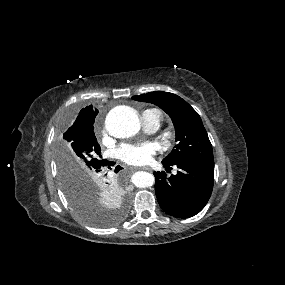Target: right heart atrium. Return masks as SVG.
<instances>
[{
	"label": "right heart atrium",
	"instance_id": "1",
	"mask_svg": "<svg viewBox=\"0 0 285 285\" xmlns=\"http://www.w3.org/2000/svg\"><path fill=\"white\" fill-rule=\"evenodd\" d=\"M102 133H103V134L105 133V129H104V128L102 129Z\"/></svg>",
	"mask_w": 285,
	"mask_h": 285
}]
</instances>
